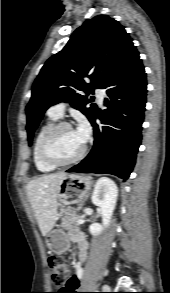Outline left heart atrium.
Here are the masks:
<instances>
[{
	"mask_svg": "<svg viewBox=\"0 0 170 293\" xmlns=\"http://www.w3.org/2000/svg\"><path fill=\"white\" fill-rule=\"evenodd\" d=\"M88 125L86 123H81L78 129L76 130L77 135L81 139V141L84 143L87 136H88Z\"/></svg>",
	"mask_w": 170,
	"mask_h": 293,
	"instance_id": "39dd6f15",
	"label": "left heart atrium"
}]
</instances>
